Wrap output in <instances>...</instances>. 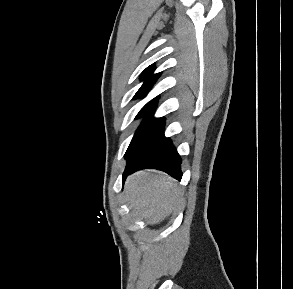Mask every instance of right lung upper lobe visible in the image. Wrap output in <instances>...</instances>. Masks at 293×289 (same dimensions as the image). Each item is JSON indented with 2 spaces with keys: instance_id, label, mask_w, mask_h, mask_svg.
<instances>
[{
  "instance_id": "right-lung-upper-lobe-1",
  "label": "right lung upper lobe",
  "mask_w": 293,
  "mask_h": 289,
  "mask_svg": "<svg viewBox=\"0 0 293 289\" xmlns=\"http://www.w3.org/2000/svg\"><path fill=\"white\" fill-rule=\"evenodd\" d=\"M154 69H155V65L153 64V65H150L149 67H147L142 72V79L147 78V80L144 82V84L138 90V92L136 93L134 98H138V97L144 95L148 90H150L152 85L156 82V80L158 79V77L160 76L161 73H157V74L152 75ZM155 100H156V98L153 99L152 101H155Z\"/></svg>"
}]
</instances>
